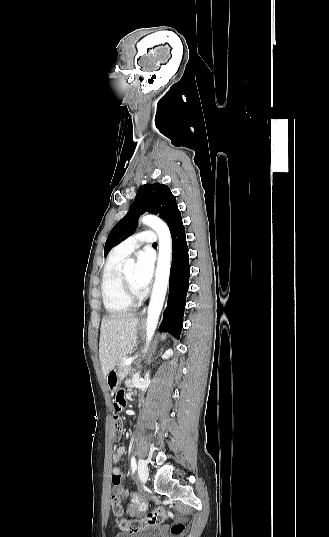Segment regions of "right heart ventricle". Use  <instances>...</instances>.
Listing matches in <instances>:
<instances>
[{
    "mask_svg": "<svg viewBox=\"0 0 329 537\" xmlns=\"http://www.w3.org/2000/svg\"><path fill=\"white\" fill-rule=\"evenodd\" d=\"M124 257L111 254L104 265L101 278V295L104 306L110 314H120L133 307L123 294L120 283V264Z\"/></svg>",
    "mask_w": 329,
    "mask_h": 537,
    "instance_id": "1",
    "label": "right heart ventricle"
}]
</instances>
